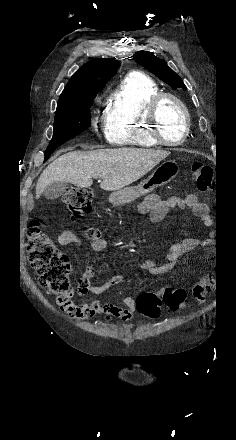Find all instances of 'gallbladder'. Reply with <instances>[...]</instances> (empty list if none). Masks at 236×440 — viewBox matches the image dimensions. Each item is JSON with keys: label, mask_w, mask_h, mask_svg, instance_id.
<instances>
[{"label": "gallbladder", "mask_w": 236, "mask_h": 440, "mask_svg": "<svg viewBox=\"0 0 236 440\" xmlns=\"http://www.w3.org/2000/svg\"><path fill=\"white\" fill-rule=\"evenodd\" d=\"M68 187V183L66 182H54L47 186L43 191V196L47 200H55L58 199Z\"/></svg>", "instance_id": "gallbladder-1"}]
</instances>
